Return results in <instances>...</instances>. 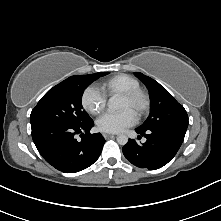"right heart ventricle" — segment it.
I'll return each mask as SVG.
<instances>
[{
    "label": "right heart ventricle",
    "instance_id": "right-heart-ventricle-1",
    "mask_svg": "<svg viewBox=\"0 0 221 221\" xmlns=\"http://www.w3.org/2000/svg\"><path fill=\"white\" fill-rule=\"evenodd\" d=\"M101 88L106 96L113 97L140 88V83L128 74H119L104 81Z\"/></svg>",
    "mask_w": 221,
    "mask_h": 221
}]
</instances>
